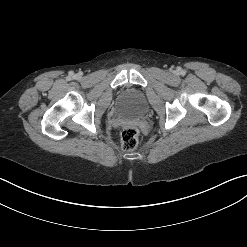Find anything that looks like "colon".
<instances>
[{
	"instance_id": "1",
	"label": "colon",
	"mask_w": 247,
	"mask_h": 247,
	"mask_svg": "<svg viewBox=\"0 0 247 247\" xmlns=\"http://www.w3.org/2000/svg\"><path fill=\"white\" fill-rule=\"evenodd\" d=\"M139 130L132 125H123L120 128L121 148L124 151L133 150L138 144Z\"/></svg>"
}]
</instances>
